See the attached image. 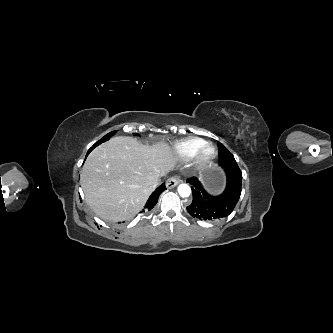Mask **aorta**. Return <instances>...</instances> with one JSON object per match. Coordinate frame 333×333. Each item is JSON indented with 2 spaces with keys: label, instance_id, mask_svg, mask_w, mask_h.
<instances>
[{
  "label": "aorta",
  "instance_id": "obj_1",
  "mask_svg": "<svg viewBox=\"0 0 333 333\" xmlns=\"http://www.w3.org/2000/svg\"><path fill=\"white\" fill-rule=\"evenodd\" d=\"M178 193L181 197H188L191 194V189L187 184H180L178 186Z\"/></svg>",
  "mask_w": 333,
  "mask_h": 333
}]
</instances>
